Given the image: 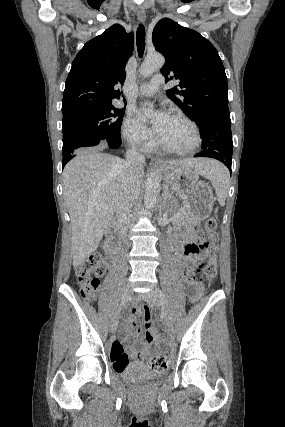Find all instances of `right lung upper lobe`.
Wrapping results in <instances>:
<instances>
[{"mask_svg": "<svg viewBox=\"0 0 285 427\" xmlns=\"http://www.w3.org/2000/svg\"><path fill=\"white\" fill-rule=\"evenodd\" d=\"M133 47V34L119 24L88 41L73 60L65 83L63 117L112 105V99H119L118 87L126 78L125 65Z\"/></svg>", "mask_w": 285, "mask_h": 427, "instance_id": "obj_1", "label": "right lung upper lobe"}]
</instances>
